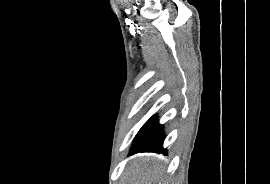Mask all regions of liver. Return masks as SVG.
<instances>
[{"mask_svg": "<svg viewBox=\"0 0 270 184\" xmlns=\"http://www.w3.org/2000/svg\"><path fill=\"white\" fill-rule=\"evenodd\" d=\"M165 169L156 164L152 157H142L140 161H134L125 170V179L130 184H164Z\"/></svg>", "mask_w": 270, "mask_h": 184, "instance_id": "liver-1", "label": "liver"}]
</instances>
